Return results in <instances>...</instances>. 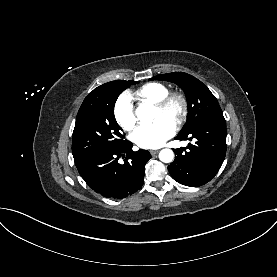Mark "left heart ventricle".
<instances>
[{
	"label": "left heart ventricle",
	"instance_id": "b2bd125f",
	"mask_svg": "<svg viewBox=\"0 0 277 277\" xmlns=\"http://www.w3.org/2000/svg\"><path fill=\"white\" fill-rule=\"evenodd\" d=\"M178 107L174 106L172 110L168 113H162L160 110L155 109V120L159 118H166L174 122V116L177 112Z\"/></svg>",
	"mask_w": 277,
	"mask_h": 277
}]
</instances>
